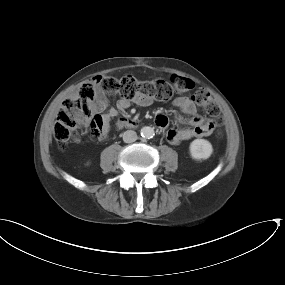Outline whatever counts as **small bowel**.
Returning <instances> with one entry per match:
<instances>
[{
    "label": "small bowel",
    "instance_id": "small-bowel-1",
    "mask_svg": "<svg viewBox=\"0 0 285 285\" xmlns=\"http://www.w3.org/2000/svg\"><path fill=\"white\" fill-rule=\"evenodd\" d=\"M75 95H76V89L70 92L68 98H71ZM152 102H153L152 97L141 95L133 99H126L124 97H120L116 101L115 106H110L106 94L98 90L96 91L95 100L91 105V109L98 114L99 118L102 120L104 124H108L112 119L122 114L132 103L140 106H149L150 104H152ZM172 104L175 107L179 108L180 111L187 116H193L197 112L196 105L188 97L176 98ZM178 119L181 122L188 125V127L183 129H177V128L168 129L165 133V136L170 144L177 145L182 141H186L194 137L206 136L209 134V133L202 134L203 129L207 130V125L209 123H205L199 117L195 116L191 119H186L178 116ZM167 124H168V118L166 124L163 126H159V128L165 129ZM107 134H108V129L106 128L102 135V138H106ZM73 141L74 143H79L80 139L78 137H75Z\"/></svg>",
    "mask_w": 285,
    "mask_h": 285
}]
</instances>
